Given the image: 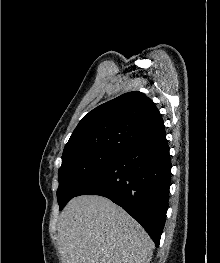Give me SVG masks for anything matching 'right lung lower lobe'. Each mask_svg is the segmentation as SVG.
I'll return each mask as SVG.
<instances>
[{
	"instance_id": "obj_1",
	"label": "right lung lower lobe",
	"mask_w": 220,
	"mask_h": 263,
	"mask_svg": "<svg viewBox=\"0 0 220 263\" xmlns=\"http://www.w3.org/2000/svg\"><path fill=\"white\" fill-rule=\"evenodd\" d=\"M171 159L166 134L137 141L76 196H104L125 209L158 247L168 209Z\"/></svg>"
}]
</instances>
